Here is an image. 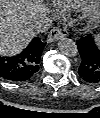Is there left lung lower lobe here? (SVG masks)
<instances>
[{
    "mask_svg": "<svg viewBox=\"0 0 100 118\" xmlns=\"http://www.w3.org/2000/svg\"><path fill=\"white\" fill-rule=\"evenodd\" d=\"M81 64L78 73L80 77L91 84H100V47L91 35L77 40Z\"/></svg>",
    "mask_w": 100,
    "mask_h": 118,
    "instance_id": "obj_1",
    "label": "left lung lower lobe"
}]
</instances>
